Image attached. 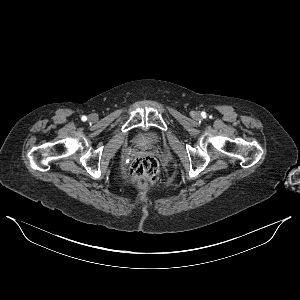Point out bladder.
Instances as JSON below:
<instances>
[{"label":"bladder","instance_id":"bladder-1","mask_svg":"<svg viewBox=\"0 0 300 300\" xmlns=\"http://www.w3.org/2000/svg\"><path fill=\"white\" fill-rule=\"evenodd\" d=\"M161 140V135L154 130H141L134 136V143L139 147H151Z\"/></svg>","mask_w":300,"mask_h":300}]
</instances>
